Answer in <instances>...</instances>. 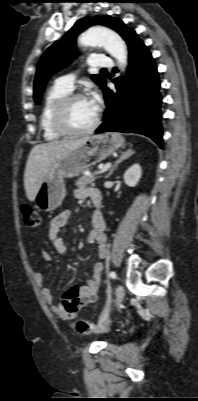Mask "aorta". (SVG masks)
Instances as JSON below:
<instances>
[{
	"instance_id": "obj_1",
	"label": "aorta",
	"mask_w": 198,
	"mask_h": 401,
	"mask_svg": "<svg viewBox=\"0 0 198 401\" xmlns=\"http://www.w3.org/2000/svg\"><path fill=\"white\" fill-rule=\"evenodd\" d=\"M79 43L83 46H103L122 69L126 67L127 48L123 39L114 31L100 26L91 27L81 35Z\"/></svg>"
}]
</instances>
